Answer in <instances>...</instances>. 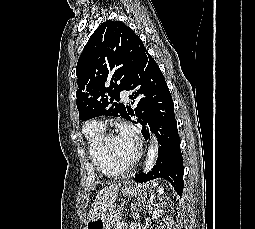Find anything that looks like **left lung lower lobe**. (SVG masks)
Here are the masks:
<instances>
[{
    "instance_id": "1",
    "label": "left lung lower lobe",
    "mask_w": 255,
    "mask_h": 229,
    "mask_svg": "<svg viewBox=\"0 0 255 229\" xmlns=\"http://www.w3.org/2000/svg\"><path fill=\"white\" fill-rule=\"evenodd\" d=\"M125 90L131 92L129 98L132 104L137 102L135 113L127 110L126 119L132 121L131 116L136 117L142 125L145 139L149 137L150 127L160 144L159 157L153 169L146 175L142 172L137 174L134 179L137 182H145L164 178L181 196L184 167L174 104L164 76L147 50L141 55Z\"/></svg>"
}]
</instances>
